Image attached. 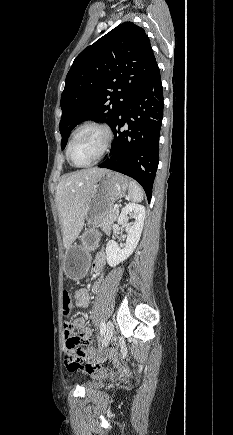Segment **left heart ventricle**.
Instances as JSON below:
<instances>
[{
  "label": "left heart ventricle",
  "instance_id": "left-heart-ventricle-1",
  "mask_svg": "<svg viewBox=\"0 0 233 435\" xmlns=\"http://www.w3.org/2000/svg\"><path fill=\"white\" fill-rule=\"evenodd\" d=\"M104 142V136L96 128H86L79 132L71 146V159L75 164L91 162L98 155Z\"/></svg>",
  "mask_w": 233,
  "mask_h": 435
}]
</instances>
